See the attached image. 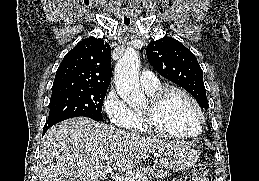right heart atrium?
Here are the masks:
<instances>
[{
    "instance_id": "obj_1",
    "label": "right heart atrium",
    "mask_w": 259,
    "mask_h": 181,
    "mask_svg": "<svg viewBox=\"0 0 259 181\" xmlns=\"http://www.w3.org/2000/svg\"><path fill=\"white\" fill-rule=\"evenodd\" d=\"M103 110L114 128L128 129L132 121V110L115 89L103 100Z\"/></svg>"
}]
</instances>
